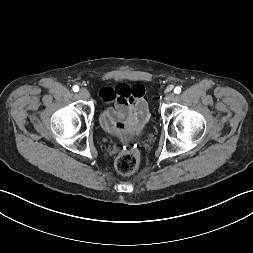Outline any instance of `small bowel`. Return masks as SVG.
<instances>
[{
	"label": "small bowel",
	"mask_w": 253,
	"mask_h": 253,
	"mask_svg": "<svg viewBox=\"0 0 253 253\" xmlns=\"http://www.w3.org/2000/svg\"><path fill=\"white\" fill-rule=\"evenodd\" d=\"M145 88L142 85L128 86L119 84L114 88L105 87L99 91V97L106 102H114L115 107L101 114L104 129L120 135L125 129L135 130L145 125L148 108L145 100Z\"/></svg>",
	"instance_id": "c3829d8e"
}]
</instances>
